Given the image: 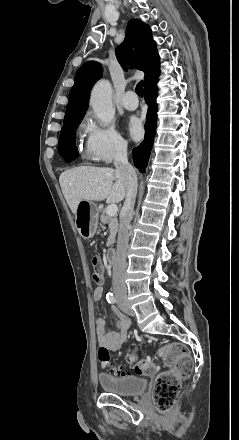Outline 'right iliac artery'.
Wrapping results in <instances>:
<instances>
[{"label": "right iliac artery", "mask_w": 239, "mask_h": 440, "mask_svg": "<svg viewBox=\"0 0 239 440\" xmlns=\"http://www.w3.org/2000/svg\"><path fill=\"white\" fill-rule=\"evenodd\" d=\"M106 299L109 303H115L116 302V298L112 293H108L106 295Z\"/></svg>", "instance_id": "1"}]
</instances>
